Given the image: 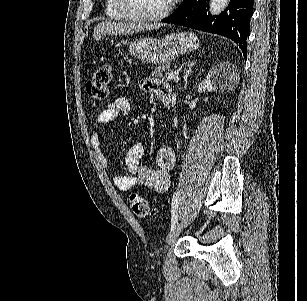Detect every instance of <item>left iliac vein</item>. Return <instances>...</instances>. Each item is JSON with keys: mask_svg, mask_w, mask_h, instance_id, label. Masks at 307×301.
Segmentation results:
<instances>
[{"mask_svg": "<svg viewBox=\"0 0 307 301\" xmlns=\"http://www.w3.org/2000/svg\"><path fill=\"white\" fill-rule=\"evenodd\" d=\"M184 221H185V217H182L179 222L176 224V226L174 227L173 230L170 231V233L167 236V245H172L173 243H175V241L177 240V238L179 237L182 228L184 226Z\"/></svg>", "mask_w": 307, "mask_h": 301, "instance_id": "4c4485c4", "label": "left iliac vein"}]
</instances>
